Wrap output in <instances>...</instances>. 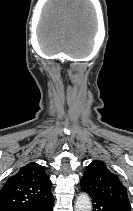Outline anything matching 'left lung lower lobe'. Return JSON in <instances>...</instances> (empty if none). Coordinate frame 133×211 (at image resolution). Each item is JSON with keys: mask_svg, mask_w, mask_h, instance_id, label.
Wrapping results in <instances>:
<instances>
[{"mask_svg": "<svg viewBox=\"0 0 133 211\" xmlns=\"http://www.w3.org/2000/svg\"><path fill=\"white\" fill-rule=\"evenodd\" d=\"M92 198L93 211H130V208L116 204L111 201L102 200L98 197Z\"/></svg>", "mask_w": 133, "mask_h": 211, "instance_id": "left-lung-lower-lobe-1", "label": "left lung lower lobe"}]
</instances>
